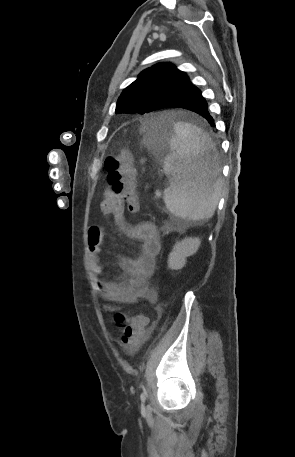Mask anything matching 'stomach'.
<instances>
[{"instance_id": "stomach-1", "label": "stomach", "mask_w": 295, "mask_h": 457, "mask_svg": "<svg viewBox=\"0 0 295 457\" xmlns=\"http://www.w3.org/2000/svg\"><path fill=\"white\" fill-rule=\"evenodd\" d=\"M154 125H157L155 128ZM148 143H159L165 152L170 151V140L175 136L174 125L166 121L149 122L143 130Z\"/></svg>"}]
</instances>
